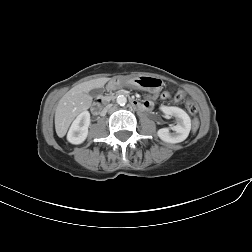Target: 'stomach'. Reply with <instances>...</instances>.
Masks as SVG:
<instances>
[{"label":"stomach","mask_w":252,"mask_h":252,"mask_svg":"<svg viewBox=\"0 0 252 252\" xmlns=\"http://www.w3.org/2000/svg\"><path fill=\"white\" fill-rule=\"evenodd\" d=\"M110 84H129L150 93H157L162 88L160 78L151 75H139L129 78L115 77L111 80Z\"/></svg>","instance_id":"obj_1"}]
</instances>
